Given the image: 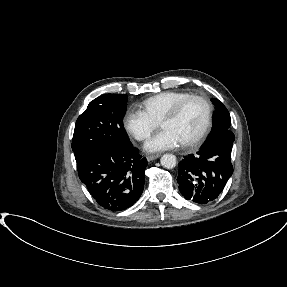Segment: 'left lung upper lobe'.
<instances>
[{
	"label": "left lung upper lobe",
	"mask_w": 287,
	"mask_h": 287,
	"mask_svg": "<svg viewBox=\"0 0 287 287\" xmlns=\"http://www.w3.org/2000/svg\"><path fill=\"white\" fill-rule=\"evenodd\" d=\"M212 103L215 105V111L212 117L213 126L204 144L215 139L220 134L230 130L229 127L231 125L230 114L226 107L216 98L212 99Z\"/></svg>",
	"instance_id": "obj_1"
}]
</instances>
